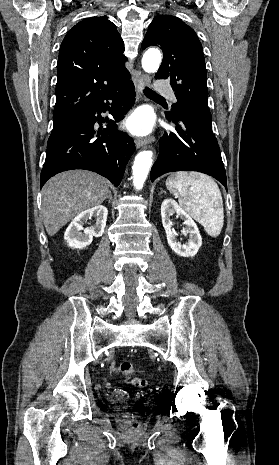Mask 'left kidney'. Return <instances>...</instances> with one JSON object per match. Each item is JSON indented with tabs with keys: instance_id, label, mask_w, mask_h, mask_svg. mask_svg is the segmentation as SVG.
Masks as SVG:
<instances>
[{
	"instance_id": "left-kidney-1",
	"label": "left kidney",
	"mask_w": 279,
	"mask_h": 465,
	"mask_svg": "<svg viewBox=\"0 0 279 465\" xmlns=\"http://www.w3.org/2000/svg\"><path fill=\"white\" fill-rule=\"evenodd\" d=\"M176 214L180 217L185 224L183 235H189L187 242L181 244L172 230V222L170 216ZM161 217L162 224L166 232L167 241L171 249L179 256L193 257L199 250L202 244V238L199 229L190 217V215L178 205V203L171 198L165 199L161 204Z\"/></svg>"
}]
</instances>
